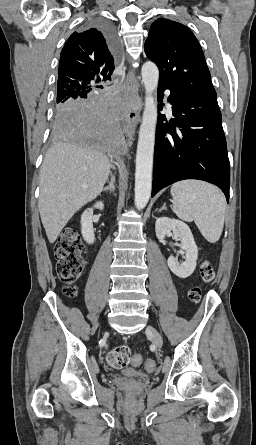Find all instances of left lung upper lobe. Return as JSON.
Here are the masks:
<instances>
[{
	"mask_svg": "<svg viewBox=\"0 0 256 445\" xmlns=\"http://www.w3.org/2000/svg\"><path fill=\"white\" fill-rule=\"evenodd\" d=\"M145 53L159 68V83L217 99L201 46L183 24L158 19L150 27Z\"/></svg>",
	"mask_w": 256,
	"mask_h": 445,
	"instance_id": "obj_1",
	"label": "left lung upper lobe"
}]
</instances>
